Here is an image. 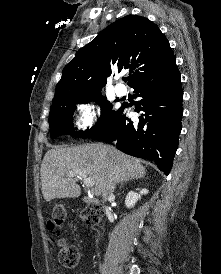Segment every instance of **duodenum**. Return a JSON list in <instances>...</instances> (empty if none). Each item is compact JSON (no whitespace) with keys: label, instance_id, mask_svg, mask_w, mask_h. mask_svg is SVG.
<instances>
[{"label":"duodenum","instance_id":"410a0bca","mask_svg":"<svg viewBox=\"0 0 221 274\" xmlns=\"http://www.w3.org/2000/svg\"><path fill=\"white\" fill-rule=\"evenodd\" d=\"M83 201L90 205H98V202L95 199L90 198V197H84Z\"/></svg>","mask_w":221,"mask_h":274}]
</instances>
